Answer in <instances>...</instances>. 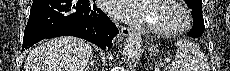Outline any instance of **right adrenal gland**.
I'll return each mask as SVG.
<instances>
[{
  "label": "right adrenal gland",
  "instance_id": "2a0ac1e0",
  "mask_svg": "<svg viewBox=\"0 0 230 71\" xmlns=\"http://www.w3.org/2000/svg\"><path fill=\"white\" fill-rule=\"evenodd\" d=\"M96 71V67L94 65V58L93 55H91V59L90 62L88 63V65L86 66V68L84 69V71Z\"/></svg>",
  "mask_w": 230,
  "mask_h": 71
}]
</instances>
